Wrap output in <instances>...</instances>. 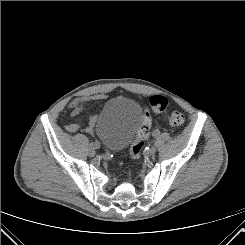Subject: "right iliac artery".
<instances>
[{"instance_id":"obj_1","label":"right iliac artery","mask_w":245,"mask_h":245,"mask_svg":"<svg viewBox=\"0 0 245 245\" xmlns=\"http://www.w3.org/2000/svg\"><path fill=\"white\" fill-rule=\"evenodd\" d=\"M93 141V140H92ZM94 149L95 150H100L101 149V143L100 142H95L94 143Z\"/></svg>"}]
</instances>
